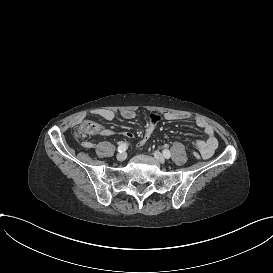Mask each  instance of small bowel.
Returning <instances> with one entry per match:
<instances>
[{"mask_svg":"<svg viewBox=\"0 0 273 273\" xmlns=\"http://www.w3.org/2000/svg\"><path fill=\"white\" fill-rule=\"evenodd\" d=\"M92 114L96 117L102 118L104 120H114L116 118V112L110 109H97L92 112ZM136 116L135 112L132 110H124L121 112V117L124 120H132ZM163 119L166 121H183L189 118V115L181 112H166L163 115ZM197 127H199L205 137L198 138L194 142L195 148L198 150L200 156L204 159H208L213 156L215 150L218 146V141L215 136V131L212 125H210L204 118L202 117H194L193 118ZM84 132L90 139H95L99 134L104 132L103 136H109L113 133L112 129L106 128L103 124L98 123L94 125L93 123H88L84 127ZM124 136L131 139L134 137L133 133L130 131H125ZM83 144V143H82ZM86 148H93L94 145H86L83 144Z\"/></svg>","mask_w":273,"mask_h":273,"instance_id":"1","label":"small bowel"}]
</instances>
